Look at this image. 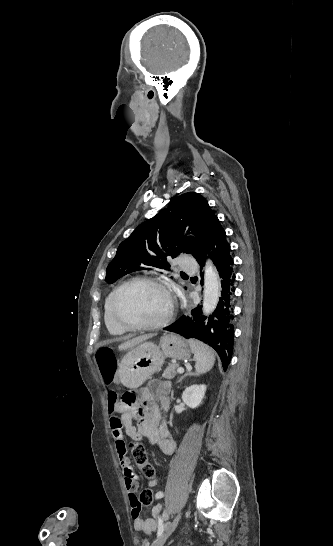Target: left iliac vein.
Here are the masks:
<instances>
[{
  "mask_svg": "<svg viewBox=\"0 0 333 546\" xmlns=\"http://www.w3.org/2000/svg\"><path fill=\"white\" fill-rule=\"evenodd\" d=\"M182 513H178L177 516L173 519V521L169 524H166L165 529L163 533L152 543V546H163L166 540L169 538V536L174 532L176 529L180 519H181Z\"/></svg>",
  "mask_w": 333,
  "mask_h": 546,
  "instance_id": "4c4485c4",
  "label": "left iliac vein"
}]
</instances>
